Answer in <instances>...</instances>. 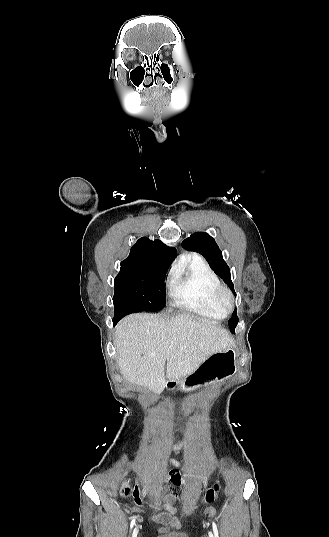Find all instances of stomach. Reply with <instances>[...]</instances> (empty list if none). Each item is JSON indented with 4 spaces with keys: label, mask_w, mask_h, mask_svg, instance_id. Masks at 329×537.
I'll return each mask as SVG.
<instances>
[{
    "label": "stomach",
    "mask_w": 329,
    "mask_h": 537,
    "mask_svg": "<svg viewBox=\"0 0 329 537\" xmlns=\"http://www.w3.org/2000/svg\"><path fill=\"white\" fill-rule=\"evenodd\" d=\"M237 351L230 347L210 355L192 374L180 379L168 380L169 388L181 387L189 391L212 381H222L236 372Z\"/></svg>",
    "instance_id": "1"
}]
</instances>
